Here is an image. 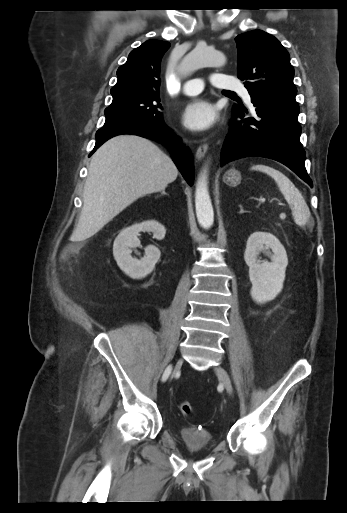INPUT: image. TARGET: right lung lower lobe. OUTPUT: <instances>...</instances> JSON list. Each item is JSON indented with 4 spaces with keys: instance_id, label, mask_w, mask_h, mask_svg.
I'll return each mask as SVG.
<instances>
[{
    "instance_id": "98d812e1",
    "label": "right lung lower lobe",
    "mask_w": 347,
    "mask_h": 513,
    "mask_svg": "<svg viewBox=\"0 0 347 513\" xmlns=\"http://www.w3.org/2000/svg\"><path fill=\"white\" fill-rule=\"evenodd\" d=\"M121 134H134L166 145L171 151L173 161L186 181L190 185L193 184L194 173L191 153L188 148L183 146L180 139L174 136L172 131L165 126L164 121L152 123L142 119L127 118L105 123L96 133V144L92 153L108 139Z\"/></svg>"
}]
</instances>
